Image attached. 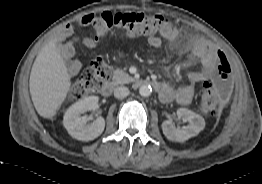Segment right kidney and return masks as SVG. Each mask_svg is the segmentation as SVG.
Wrapping results in <instances>:
<instances>
[{
    "instance_id": "ca27d5eb",
    "label": "right kidney",
    "mask_w": 262,
    "mask_h": 184,
    "mask_svg": "<svg viewBox=\"0 0 262 184\" xmlns=\"http://www.w3.org/2000/svg\"><path fill=\"white\" fill-rule=\"evenodd\" d=\"M98 103L97 96H90L70 106L64 114L63 125L68 133L75 139L91 141L102 134L105 128V120L98 117L88 124L89 118L81 116L82 113L93 110Z\"/></svg>"
}]
</instances>
